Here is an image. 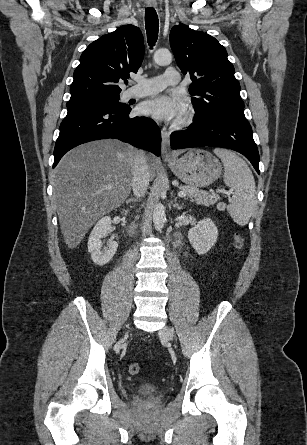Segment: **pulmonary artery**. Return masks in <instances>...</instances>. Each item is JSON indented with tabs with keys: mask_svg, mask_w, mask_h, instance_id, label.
<instances>
[{
	"mask_svg": "<svg viewBox=\"0 0 307 445\" xmlns=\"http://www.w3.org/2000/svg\"><path fill=\"white\" fill-rule=\"evenodd\" d=\"M181 72L179 69H174L173 67H168L157 73H152L149 75L137 76L135 80L137 81L135 90L131 87L128 91L129 97H142L153 95L161 91L164 87L169 84H177L178 89L183 90L186 87L185 82L181 81ZM160 80V81H147V80Z\"/></svg>",
	"mask_w": 307,
	"mask_h": 445,
	"instance_id": "1",
	"label": "pulmonary artery"
}]
</instances>
